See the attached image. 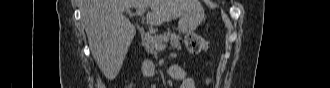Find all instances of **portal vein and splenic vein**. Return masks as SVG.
Segmentation results:
<instances>
[{
	"label": "portal vein and splenic vein",
	"instance_id": "obj_1",
	"mask_svg": "<svg viewBox=\"0 0 330 88\" xmlns=\"http://www.w3.org/2000/svg\"><path fill=\"white\" fill-rule=\"evenodd\" d=\"M144 12H145V10H143V9H138V10L136 11V15L139 16V17H142L143 14H144ZM142 23H143V21H142ZM148 36L153 40V36H152L151 32H150V33L148 32ZM154 45H155V48H156L157 50H163V49L166 48V45H165V44H162V43H159V42H155Z\"/></svg>",
	"mask_w": 330,
	"mask_h": 88
}]
</instances>
